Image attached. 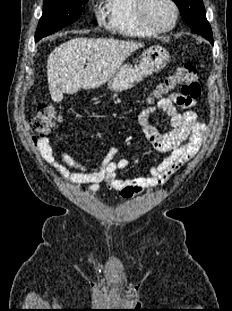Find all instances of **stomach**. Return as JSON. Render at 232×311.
Here are the masks:
<instances>
[{"instance_id":"1","label":"stomach","mask_w":232,"mask_h":311,"mask_svg":"<svg viewBox=\"0 0 232 311\" xmlns=\"http://www.w3.org/2000/svg\"><path fill=\"white\" fill-rule=\"evenodd\" d=\"M169 61L170 55L165 48L159 45L151 46L143 53L139 64L122 65L107 81V87L115 92L128 90L143 78L163 69Z\"/></svg>"}]
</instances>
